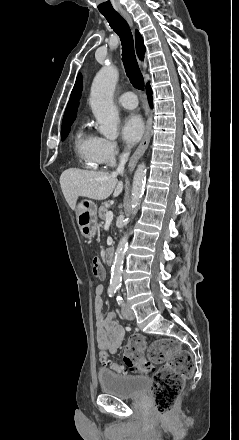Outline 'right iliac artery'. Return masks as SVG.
<instances>
[{
	"instance_id": "right-iliac-artery-1",
	"label": "right iliac artery",
	"mask_w": 239,
	"mask_h": 440,
	"mask_svg": "<svg viewBox=\"0 0 239 440\" xmlns=\"http://www.w3.org/2000/svg\"><path fill=\"white\" fill-rule=\"evenodd\" d=\"M117 289H118V287L110 286V287L108 288V294H109V296H110V297L113 296V295L116 293Z\"/></svg>"
}]
</instances>
